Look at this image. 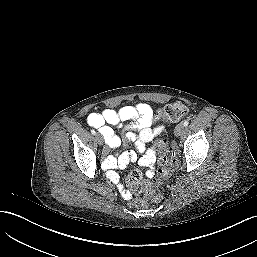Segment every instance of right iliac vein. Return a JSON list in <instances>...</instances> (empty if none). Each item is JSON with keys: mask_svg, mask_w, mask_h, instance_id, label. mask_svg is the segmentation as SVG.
<instances>
[{"mask_svg": "<svg viewBox=\"0 0 257 257\" xmlns=\"http://www.w3.org/2000/svg\"><path fill=\"white\" fill-rule=\"evenodd\" d=\"M96 138H97V141H98V144L99 145H103V137L98 133L96 134Z\"/></svg>", "mask_w": 257, "mask_h": 257, "instance_id": "right-iliac-vein-1", "label": "right iliac vein"}]
</instances>
